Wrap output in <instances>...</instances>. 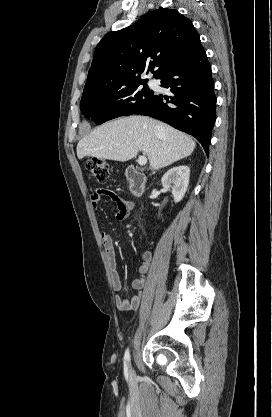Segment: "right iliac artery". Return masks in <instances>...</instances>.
<instances>
[{
  "label": "right iliac artery",
  "mask_w": 272,
  "mask_h": 417,
  "mask_svg": "<svg viewBox=\"0 0 272 417\" xmlns=\"http://www.w3.org/2000/svg\"><path fill=\"white\" fill-rule=\"evenodd\" d=\"M124 361H125L124 371H125V374L127 375V374H128V367H127V365H126V362H129V361H130V353H129V349H127V350L125 351V354H124Z\"/></svg>",
  "instance_id": "1"
}]
</instances>
